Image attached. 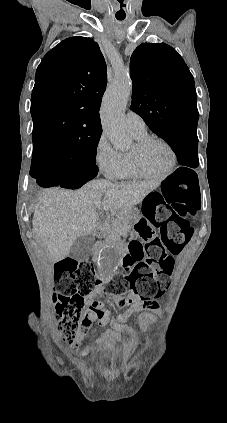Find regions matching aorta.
<instances>
[{"instance_id":"1","label":"aorta","mask_w":227,"mask_h":423,"mask_svg":"<svg viewBox=\"0 0 227 423\" xmlns=\"http://www.w3.org/2000/svg\"><path fill=\"white\" fill-rule=\"evenodd\" d=\"M132 92L129 76L118 75L103 96L100 109L101 124L113 146L123 149L129 146L124 112ZM120 266L119 252L115 247H106L99 256L98 273L105 279H111Z\"/></svg>"}]
</instances>
